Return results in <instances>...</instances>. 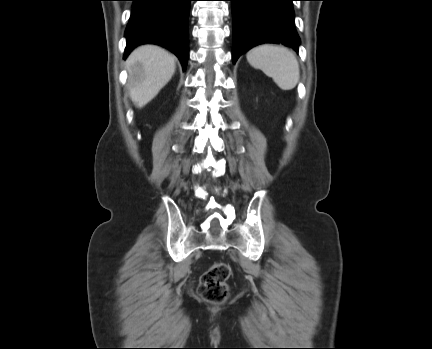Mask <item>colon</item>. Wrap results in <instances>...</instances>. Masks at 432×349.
I'll return each instance as SVG.
<instances>
[{"mask_svg": "<svg viewBox=\"0 0 432 349\" xmlns=\"http://www.w3.org/2000/svg\"><path fill=\"white\" fill-rule=\"evenodd\" d=\"M231 274L230 266L225 262L213 264L201 277L198 292L212 303L224 302L229 293L227 280Z\"/></svg>", "mask_w": 432, "mask_h": 349, "instance_id": "colon-1", "label": "colon"}]
</instances>
